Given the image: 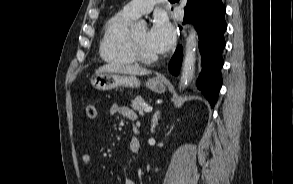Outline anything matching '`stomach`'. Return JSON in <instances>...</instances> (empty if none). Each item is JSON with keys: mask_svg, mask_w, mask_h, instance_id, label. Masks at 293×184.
<instances>
[{"mask_svg": "<svg viewBox=\"0 0 293 184\" xmlns=\"http://www.w3.org/2000/svg\"><path fill=\"white\" fill-rule=\"evenodd\" d=\"M91 85L101 91L115 89L117 87L137 88L141 82L134 75H121L114 72H96L90 79ZM146 87L156 93H164L166 90L164 82L158 77L149 79Z\"/></svg>", "mask_w": 293, "mask_h": 184, "instance_id": "obj_1", "label": "stomach"}]
</instances>
